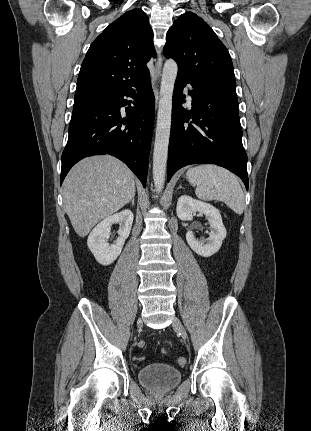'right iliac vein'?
<instances>
[{
    "label": "right iliac vein",
    "mask_w": 311,
    "mask_h": 431,
    "mask_svg": "<svg viewBox=\"0 0 311 431\" xmlns=\"http://www.w3.org/2000/svg\"><path fill=\"white\" fill-rule=\"evenodd\" d=\"M137 325L140 326L141 325V319L138 320Z\"/></svg>",
    "instance_id": "obj_1"
}]
</instances>
